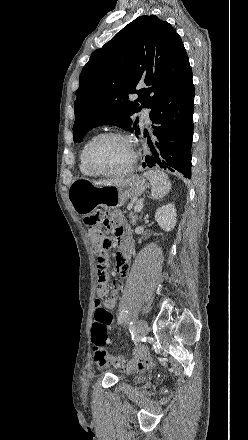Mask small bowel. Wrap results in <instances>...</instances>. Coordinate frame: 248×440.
I'll return each instance as SVG.
<instances>
[{"label":"small bowel","mask_w":248,"mask_h":440,"mask_svg":"<svg viewBox=\"0 0 248 440\" xmlns=\"http://www.w3.org/2000/svg\"><path fill=\"white\" fill-rule=\"evenodd\" d=\"M108 227L114 231L115 236L122 246V252L116 256L117 273L120 274V278H126V273L130 268L129 265V253H130V237L128 227L126 226L124 219L120 214L114 213L108 221ZM113 263L108 257H99L97 263V278H96V290L98 297L96 301L100 303L104 308L108 310L114 309L116 300L118 297V291L124 292L125 286L121 280L115 279L110 282V285L114 287L111 291L109 288L108 280L110 276L109 269H113ZM110 295L108 296V293ZM96 306V304H95ZM143 349L139 350V355L133 358L130 362L131 366L143 368L147 365L148 361L143 356Z\"/></svg>","instance_id":"1"}]
</instances>
